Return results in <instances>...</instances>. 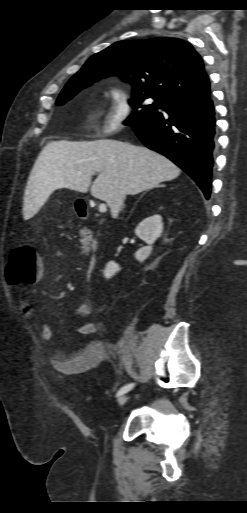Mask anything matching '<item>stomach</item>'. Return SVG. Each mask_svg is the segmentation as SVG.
I'll use <instances>...</instances> for the list:
<instances>
[{"label": "stomach", "mask_w": 247, "mask_h": 513, "mask_svg": "<svg viewBox=\"0 0 247 513\" xmlns=\"http://www.w3.org/2000/svg\"><path fill=\"white\" fill-rule=\"evenodd\" d=\"M75 212L78 213L77 209H75Z\"/></svg>", "instance_id": "stomach-1"}]
</instances>
